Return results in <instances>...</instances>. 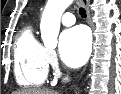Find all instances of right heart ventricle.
<instances>
[{
  "label": "right heart ventricle",
  "instance_id": "right-heart-ventricle-1",
  "mask_svg": "<svg viewBox=\"0 0 121 94\" xmlns=\"http://www.w3.org/2000/svg\"><path fill=\"white\" fill-rule=\"evenodd\" d=\"M46 52L47 48L36 39L32 27L23 28L14 51L15 78L20 86L33 88L44 84L48 73Z\"/></svg>",
  "mask_w": 121,
  "mask_h": 94
}]
</instances>
